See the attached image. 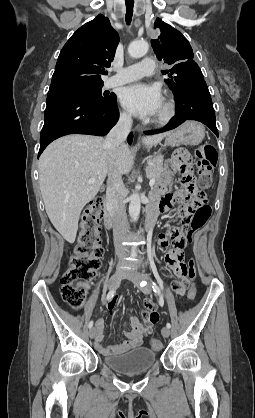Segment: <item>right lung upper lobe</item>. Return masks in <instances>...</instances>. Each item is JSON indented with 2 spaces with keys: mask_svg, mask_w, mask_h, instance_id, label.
<instances>
[{
  "mask_svg": "<svg viewBox=\"0 0 255 418\" xmlns=\"http://www.w3.org/2000/svg\"><path fill=\"white\" fill-rule=\"evenodd\" d=\"M119 42L117 32L104 15L80 27L62 48L51 86L88 82H103L101 75L107 74Z\"/></svg>",
  "mask_w": 255,
  "mask_h": 418,
  "instance_id": "obj_1",
  "label": "right lung upper lobe"
}]
</instances>
